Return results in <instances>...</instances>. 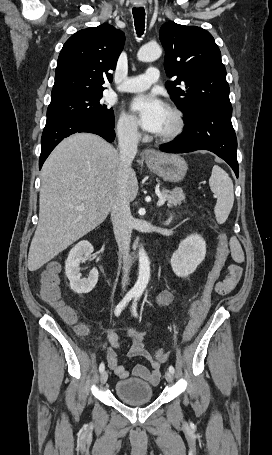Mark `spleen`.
Masks as SVG:
<instances>
[{"instance_id":"3e777b00","label":"spleen","mask_w":272,"mask_h":455,"mask_svg":"<svg viewBox=\"0 0 272 455\" xmlns=\"http://www.w3.org/2000/svg\"><path fill=\"white\" fill-rule=\"evenodd\" d=\"M209 185L217 197L214 208L216 220L219 224H223L227 220L234 203L233 182L221 167L214 165Z\"/></svg>"}]
</instances>
